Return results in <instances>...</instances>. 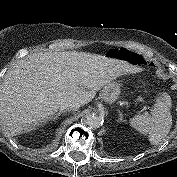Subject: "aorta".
<instances>
[{"instance_id":"aorta-1","label":"aorta","mask_w":177,"mask_h":177,"mask_svg":"<svg viewBox=\"0 0 177 177\" xmlns=\"http://www.w3.org/2000/svg\"><path fill=\"white\" fill-rule=\"evenodd\" d=\"M85 124L90 128L96 129L102 126L103 119L94 113H90L86 115Z\"/></svg>"}]
</instances>
